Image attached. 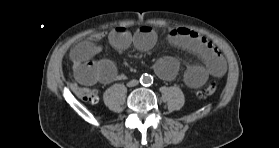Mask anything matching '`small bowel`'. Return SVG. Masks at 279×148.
<instances>
[{
	"label": "small bowel",
	"instance_id": "small-bowel-1",
	"mask_svg": "<svg viewBox=\"0 0 279 148\" xmlns=\"http://www.w3.org/2000/svg\"><path fill=\"white\" fill-rule=\"evenodd\" d=\"M104 36V32L92 33L74 45L70 51L75 78L80 84H109L121 78L111 60H92L101 51L98 41ZM108 40L117 51H123L131 45L141 51H147L155 45L156 33L150 26H142L133 34L124 27H118L108 34ZM168 40L171 44L193 53L204 63L187 67L184 73L187 86L198 88L209 76L222 77L225 74L226 62L222 55L196 32L186 28H175L169 31ZM154 69L161 78L170 80L177 74L179 62L174 57L164 56L155 63Z\"/></svg>",
	"mask_w": 279,
	"mask_h": 148
}]
</instances>
